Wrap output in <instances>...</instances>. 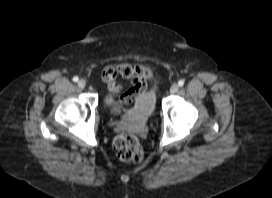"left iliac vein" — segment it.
<instances>
[{
    "label": "left iliac vein",
    "mask_w": 272,
    "mask_h": 198,
    "mask_svg": "<svg viewBox=\"0 0 272 198\" xmlns=\"http://www.w3.org/2000/svg\"><path fill=\"white\" fill-rule=\"evenodd\" d=\"M179 90V86L177 84H172L170 87V93L174 94Z\"/></svg>",
    "instance_id": "4c4485c4"
}]
</instances>
